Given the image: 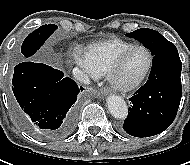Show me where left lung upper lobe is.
I'll list each match as a JSON object with an SVG mask.
<instances>
[{
    "label": "left lung upper lobe",
    "instance_id": "1",
    "mask_svg": "<svg viewBox=\"0 0 190 165\" xmlns=\"http://www.w3.org/2000/svg\"><path fill=\"white\" fill-rule=\"evenodd\" d=\"M126 36L141 42L146 48L151 50L152 55H156L164 49L174 46L173 43L165 39L160 33L148 28H141L134 32L127 33Z\"/></svg>",
    "mask_w": 190,
    "mask_h": 165
}]
</instances>
